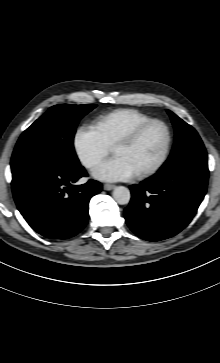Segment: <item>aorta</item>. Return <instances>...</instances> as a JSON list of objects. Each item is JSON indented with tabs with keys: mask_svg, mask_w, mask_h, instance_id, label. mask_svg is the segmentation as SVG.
<instances>
[{
	"mask_svg": "<svg viewBox=\"0 0 220 363\" xmlns=\"http://www.w3.org/2000/svg\"><path fill=\"white\" fill-rule=\"evenodd\" d=\"M113 198L118 204L125 205L129 203L131 194L128 188L124 186H117L113 190Z\"/></svg>",
	"mask_w": 220,
	"mask_h": 363,
	"instance_id": "obj_1",
	"label": "aorta"
}]
</instances>
